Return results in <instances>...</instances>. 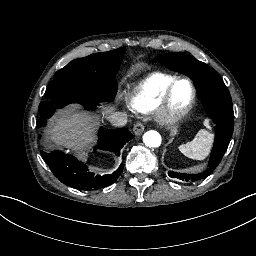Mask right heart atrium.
I'll return each instance as SVG.
<instances>
[{"instance_id":"1","label":"right heart atrium","mask_w":256,"mask_h":256,"mask_svg":"<svg viewBox=\"0 0 256 256\" xmlns=\"http://www.w3.org/2000/svg\"><path fill=\"white\" fill-rule=\"evenodd\" d=\"M121 101L124 105V108L131 110V99L130 98H128V97L122 98L121 97Z\"/></svg>"}]
</instances>
